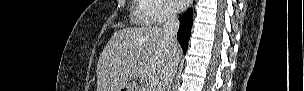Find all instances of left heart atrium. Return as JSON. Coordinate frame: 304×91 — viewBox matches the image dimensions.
<instances>
[{"instance_id":"39dd6f15","label":"left heart atrium","mask_w":304,"mask_h":91,"mask_svg":"<svg viewBox=\"0 0 304 91\" xmlns=\"http://www.w3.org/2000/svg\"><path fill=\"white\" fill-rule=\"evenodd\" d=\"M171 3L177 10H183L188 6V0H172Z\"/></svg>"}]
</instances>
